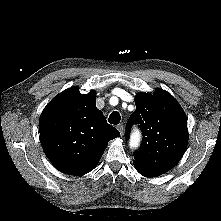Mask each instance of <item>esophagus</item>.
<instances>
[{
	"instance_id": "1",
	"label": "esophagus",
	"mask_w": 221,
	"mask_h": 221,
	"mask_svg": "<svg viewBox=\"0 0 221 221\" xmlns=\"http://www.w3.org/2000/svg\"><path fill=\"white\" fill-rule=\"evenodd\" d=\"M117 129L119 130L121 136H123L124 135V126L122 124H119L117 126Z\"/></svg>"
}]
</instances>
